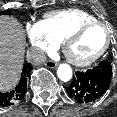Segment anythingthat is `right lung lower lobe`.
<instances>
[{
    "label": "right lung lower lobe",
    "mask_w": 117,
    "mask_h": 117,
    "mask_svg": "<svg viewBox=\"0 0 117 117\" xmlns=\"http://www.w3.org/2000/svg\"><path fill=\"white\" fill-rule=\"evenodd\" d=\"M32 68L33 67L31 66L30 63H27L26 65H24L20 82L15 87V89L6 93L0 92V107L1 108L14 105L24 97L27 91V79L30 76V72Z\"/></svg>",
    "instance_id": "obj_1"
}]
</instances>
